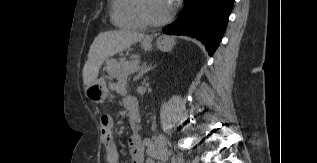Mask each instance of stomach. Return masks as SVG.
I'll return each mask as SVG.
<instances>
[{
	"instance_id": "0dacf381",
	"label": "stomach",
	"mask_w": 317,
	"mask_h": 163,
	"mask_svg": "<svg viewBox=\"0 0 317 163\" xmlns=\"http://www.w3.org/2000/svg\"><path fill=\"white\" fill-rule=\"evenodd\" d=\"M157 47L162 51H170L174 45L175 41L169 36H160L156 42ZM141 46L144 50H151L152 44L146 40L141 42ZM85 95L93 103H102L108 97V89L106 82L103 78L96 79L93 83L86 86Z\"/></svg>"
}]
</instances>
